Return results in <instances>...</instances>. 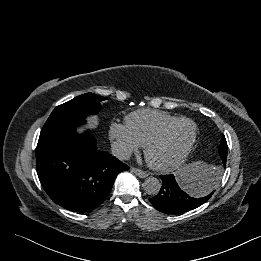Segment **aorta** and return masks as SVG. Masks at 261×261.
Here are the masks:
<instances>
[{"label":"aorta","instance_id":"1","mask_svg":"<svg viewBox=\"0 0 261 261\" xmlns=\"http://www.w3.org/2000/svg\"><path fill=\"white\" fill-rule=\"evenodd\" d=\"M143 189L149 195H157L161 189V182L156 177H148L143 183Z\"/></svg>","mask_w":261,"mask_h":261}]
</instances>
